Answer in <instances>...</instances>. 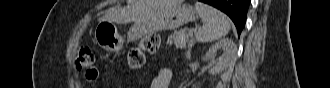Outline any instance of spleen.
<instances>
[{
    "label": "spleen",
    "mask_w": 330,
    "mask_h": 88,
    "mask_svg": "<svg viewBox=\"0 0 330 88\" xmlns=\"http://www.w3.org/2000/svg\"><path fill=\"white\" fill-rule=\"evenodd\" d=\"M195 7L204 21L203 26L195 34L198 42L208 43L227 35L231 28V21L227 15L201 2H196Z\"/></svg>",
    "instance_id": "1"
}]
</instances>
